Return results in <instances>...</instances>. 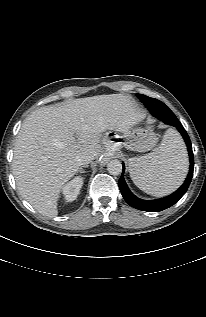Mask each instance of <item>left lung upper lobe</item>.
<instances>
[{"label": "left lung upper lobe", "instance_id": "obj_1", "mask_svg": "<svg viewBox=\"0 0 206 317\" xmlns=\"http://www.w3.org/2000/svg\"><path fill=\"white\" fill-rule=\"evenodd\" d=\"M137 97L140 99V101L147 107V103H154L156 105H165L164 103H162L161 101L157 100V99H154V98H151V97H148V96H145V95H142V94H137ZM147 102V103H146Z\"/></svg>", "mask_w": 206, "mask_h": 317}]
</instances>
